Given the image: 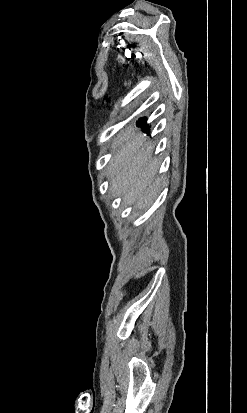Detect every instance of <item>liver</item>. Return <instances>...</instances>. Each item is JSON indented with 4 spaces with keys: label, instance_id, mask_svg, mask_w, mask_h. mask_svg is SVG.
<instances>
[{
    "label": "liver",
    "instance_id": "obj_1",
    "mask_svg": "<svg viewBox=\"0 0 247 413\" xmlns=\"http://www.w3.org/2000/svg\"><path fill=\"white\" fill-rule=\"evenodd\" d=\"M152 146L142 132L132 128L121 130L111 146L119 150L108 162L109 188L114 196H123L125 204H135L136 209L152 204L162 184V176H156L160 162L152 158Z\"/></svg>",
    "mask_w": 247,
    "mask_h": 413
}]
</instances>
